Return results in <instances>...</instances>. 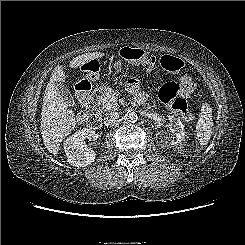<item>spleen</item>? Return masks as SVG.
I'll use <instances>...</instances> for the list:
<instances>
[{
	"label": "spleen",
	"mask_w": 245,
	"mask_h": 245,
	"mask_svg": "<svg viewBox=\"0 0 245 245\" xmlns=\"http://www.w3.org/2000/svg\"><path fill=\"white\" fill-rule=\"evenodd\" d=\"M213 118L211 106L203 103L201 112L196 125V137L201 146H205L210 141L213 129Z\"/></svg>",
	"instance_id": "3e777b00"
}]
</instances>
